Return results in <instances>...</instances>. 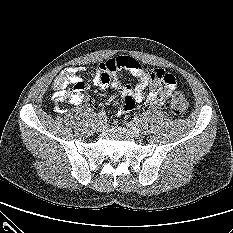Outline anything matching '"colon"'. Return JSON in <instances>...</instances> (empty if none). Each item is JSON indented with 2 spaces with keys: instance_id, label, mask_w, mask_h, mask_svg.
<instances>
[{
  "instance_id": "colon-1",
  "label": "colon",
  "mask_w": 233,
  "mask_h": 233,
  "mask_svg": "<svg viewBox=\"0 0 233 233\" xmlns=\"http://www.w3.org/2000/svg\"><path fill=\"white\" fill-rule=\"evenodd\" d=\"M85 95V86L82 84L74 85L69 92V99L72 100H80ZM67 96L63 100V104L66 102ZM188 106L187 99L185 96L180 92H175L170 101V108L171 111L175 115H182Z\"/></svg>"
}]
</instances>
